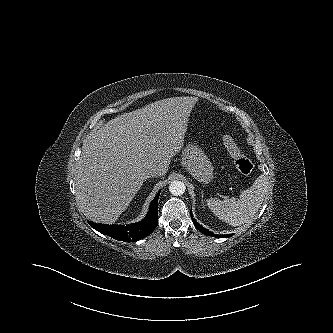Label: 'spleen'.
I'll return each mask as SVG.
<instances>
[{"label": "spleen", "instance_id": "spleen-1", "mask_svg": "<svg viewBox=\"0 0 333 333\" xmlns=\"http://www.w3.org/2000/svg\"><path fill=\"white\" fill-rule=\"evenodd\" d=\"M269 181L260 175L252 186L241 192L239 199H208L209 209L231 226H241L249 222L261 207L269 189Z\"/></svg>", "mask_w": 333, "mask_h": 333}]
</instances>
